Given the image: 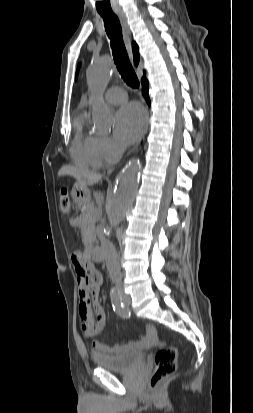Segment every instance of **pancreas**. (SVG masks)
<instances>
[{
  "instance_id": "cf45deb5",
  "label": "pancreas",
  "mask_w": 253,
  "mask_h": 413,
  "mask_svg": "<svg viewBox=\"0 0 253 413\" xmlns=\"http://www.w3.org/2000/svg\"><path fill=\"white\" fill-rule=\"evenodd\" d=\"M101 208L95 206L93 202L85 207L79 217V227L82 233V241L86 247H91L96 242L95 224L101 218Z\"/></svg>"
}]
</instances>
